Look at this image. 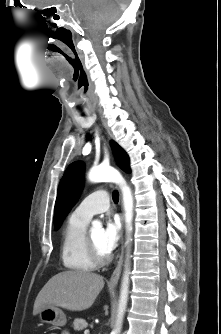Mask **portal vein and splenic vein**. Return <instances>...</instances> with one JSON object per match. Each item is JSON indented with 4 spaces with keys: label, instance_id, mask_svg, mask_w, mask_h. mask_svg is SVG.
<instances>
[{
    "label": "portal vein and splenic vein",
    "instance_id": "1",
    "mask_svg": "<svg viewBox=\"0 0 221 334\" xmlns=\"http://www.w3.org/2000/svg\"><path fill=\"white\" fill-rule=\"evenodd\" d=\"M84 334H89V330H85V331H84Z\"/></svg>",
    "mask_w": 221,
    "mask_h": 334
}]
</instances>
